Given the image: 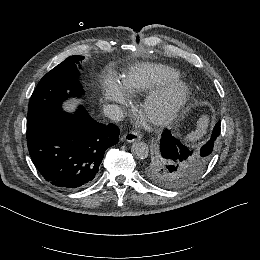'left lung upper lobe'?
Returning <instances> with one entry per match:
<instances>
[{"instance_id":"obj_1","label":"left lung upper lobe","mask_w":260,"mask_h":260,"mask_svg":"<svg viewBox=\"0 0 260 260\" xmlns=\"http://www.w3.org/2000/svg\"><path fill=\"white\" fill-rule=\"evenodd\" d=\"M212 155L200 150L181 159L167 160L162 156L160 146L156 145L142 170L144 176L155 185L177 189L194 182L203 173Z\"/></svg>"}]
</instances>
